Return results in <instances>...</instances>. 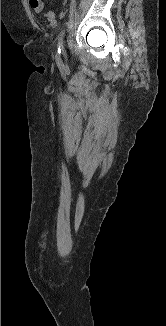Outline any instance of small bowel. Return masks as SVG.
I'll list each match as a JSON object with an SVG mask.
<instances>
[{
	"label": "small bowel",
	"mask_w": 166,
	"mask_h": 326,
	"mask_svg": "<svg viewBox=\"0 0 166 326\" xmlns=\"http://www.w3.org/2000/svg\"><path fill=\"white\" fill-rule=\"evenodd\" d=\"M29 4L35 12H41L44 7L42 0H29Z\"/></svg>",
	"instance_id": "small-bowel-1"
}]
</instances>
